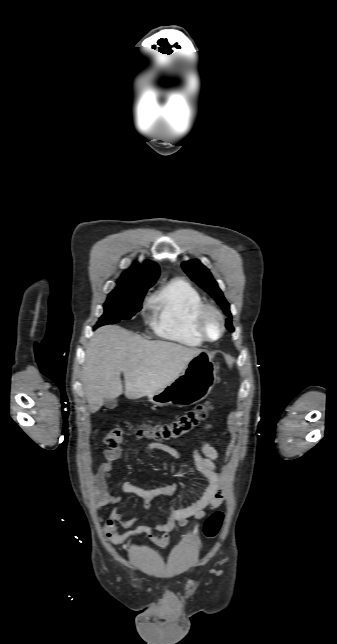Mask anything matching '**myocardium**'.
<instances>
[{"label": "myocardium", "instance_id": "obj_1", "mask_svg": "<svg viewBox=\"0 0 337 644\" xmlns=\"http://www.w3.org/2000/svg\"><path fill=\"white\" fill-rule=\"evenodd\" d=\"M209 316H214L218 322L219 332L216 338L209 337L205 329V322ZM194 325L201 338L207 342H215L219 340L225 330L224 316L221 311L212 304L203 303L196 314Z\"/></svg>", "mask_w": 337, "mask_h": 644}]
</instances>
